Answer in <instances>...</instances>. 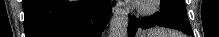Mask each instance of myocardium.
Listing matches in <instances>:
<instances>
[{
    "label": "myocardium",
    "instance_id": "f54148a6",
    "mask_svg": "<svg viewBox=\"0 0 219 37\" xmlns=\"http://www.w3.org/2000/svg\"><path fill=\"white\" fill-rule=\"evenodd\" d=\"M156 0H145L138 4L137 10L139 14L147 15L154 11Z\"/></svg>",
    "mask_w": 219,
    "mask_h": 37
}]
</instances>
